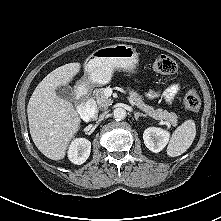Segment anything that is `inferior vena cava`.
I'll return each mask as SVG.
<instances>
[{
    "label": "inferior vena cava",
    "instance_id": "obj_1",
    "mask_svg": "<svg viewBox=\"0 0 221 221\" xmlns=\"http://www.w3.org/2000/svg\"><path fill=\"white\" fill-rule=\"evenodd\" d=\"M106 116V113H102L100 116H99V121L103 120Z\"/></svg>",
    "mask_w": 221,
    "mask_h": 221
}]
</instances>
